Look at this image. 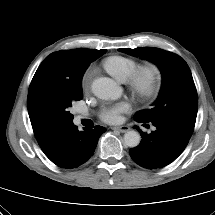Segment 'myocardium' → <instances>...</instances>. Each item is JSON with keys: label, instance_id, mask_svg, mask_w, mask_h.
Instances as JSON below:
<instances>
[{"label": "myocardium", "instance_id": "f54148a6", "mask_svg": "<svg viewBox=\"0 0 215 215\" xmlns=\"http://www.w3.org/2000/svg\"><path fill=\"white\" fill-rule=\"evenodd\" d=\"M161 80V67L150 61L137 66L127 78L126 84L134 96L147 101L157 94Z\"/></svg>", "mask_w": 215, "mask_h": 215}]
</instances>
